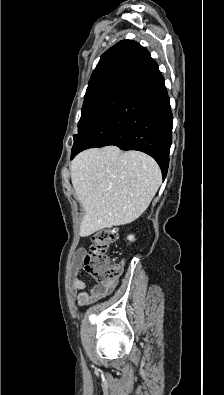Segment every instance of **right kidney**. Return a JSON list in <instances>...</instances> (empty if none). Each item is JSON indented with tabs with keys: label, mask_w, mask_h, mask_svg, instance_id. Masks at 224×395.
Masks as SVG:
<instances>
[{
	"label": "right kidney",
	"mask_w": 224,
	"mask_h": 395,
	"mask_svg": "<svg viewBox=\"0 0 224 395\" xmlns=\"http://www.w3.org/2000/svg\"><path fill=\"white\" fill-rule=\"evenodd\" d=\"M128 240H129V241H134V236H133V235H129V236H128Z\"/></svg>",
	"instance_id": "obj_1"
}]
</instances>
